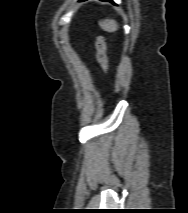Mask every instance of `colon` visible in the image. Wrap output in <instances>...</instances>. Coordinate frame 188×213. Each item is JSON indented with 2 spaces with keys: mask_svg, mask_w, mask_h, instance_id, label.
<instances>
[{
  "mask_svg": "<svg viewBox=\"0 0 188 213\" xmlns=\"http://www.w3.org/2000/svg\"><path fill=\"white\" fill-rule=\"evenodd\" d=\"M97 59L104 70H107V44L103 37L96 39Z\"/></svg>",
  "mask_w": 188,
  "mask_h": 213,
  "instance_id": "obj_1",
  "label": "colon"
}]
</instances>
